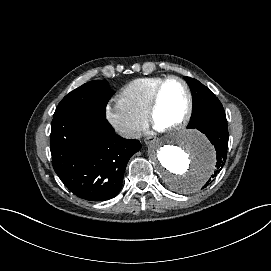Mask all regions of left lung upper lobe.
<instances>
[{
    "mask_svg": "<svg viewBox=\"0 0 271 271\" xmlns=\"http://www.w3.org/2000/svg\"><path fill=\"white\" fill-rule=\"evenodd\" d=\"M190 86L193 97V111L187 128H192L200 120L202 115L210 108L222 107L219 99L198 80L184 77Z\"/></svg>",
    "mask_w": 271,
    "mask_h": 271,
    "instance_id": "obj_1",
    "label": "left lung upper lobe"
}]
</instances>
